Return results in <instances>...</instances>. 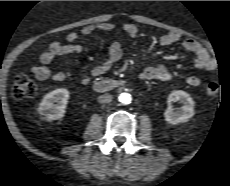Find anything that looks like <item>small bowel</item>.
<instances>
[{"instance_id":"1","label":"small bowel","mask_w":230,"mask_h":186,"mask_svg":"<svg viewBox=\"0 0 230 186\" xmlns=\"http://www.w3.org/2000/svg\"><path fill=\"white\" fill-rule=\"evenodd\" d=\"M115 29L113 23H101L98 25H89L83 27L80 32H70L66 36L68 45H64L60 41L52 42L49 47L43 51L40 55V65H36L32 68L33 75L39 80H46L51 78L53 81L60 82L68 79L71 76V71H59L51 74L49 65L58 56L66 55L70 52L81 53L83 51L82 46L75 44L80 35H88L95 30L112 31ZM125 34L129 37H136L138 34V28L136 25L128 23L123 26ZM181 40V35L176 32H168L163 34L158 43L161 46H168L177 43ZM182 47L185 51L193 53L195 55L193 64L197 69L205 71H214L217 68V61L210 55L208 50L199 42L193 39L182 40ZM123 57V49L119 43H113L109 48L107 59L100 65L93 68L91 75L97 77L108 72L117 62ZM140 78L144 80H155L162 82H169L175 79L174 74L162 64H157L145 69ZM90 77H83L81 82L88 84ZM186 82L193 87L200 85L201 80L197 76H188Z\"/></svg>"}]
</instances>
